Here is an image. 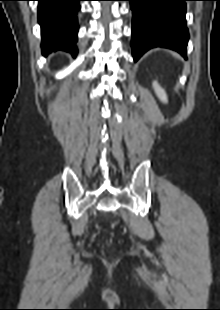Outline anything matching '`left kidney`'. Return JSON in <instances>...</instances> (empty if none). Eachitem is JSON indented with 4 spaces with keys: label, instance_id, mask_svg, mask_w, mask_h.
<instances>
[{
    "label": "left kidney",
    "instance_id": "obj_1",
    "mask_svg": "<svg viewBox=\"0 0 220 310\" xmlns=\"http://www.w3.org/2000/svg\"><path fill=\"white\" fill-rule=\"evenodd\" d=\"M153 88H154V91H155L156 95L158 96V98L162 102L166 103L167 102V96H166L164 89H162L156 81L153 82Z\"/></svg>",
    "mask_w": 220,
    "mask_h": 310
}]
</instances>
